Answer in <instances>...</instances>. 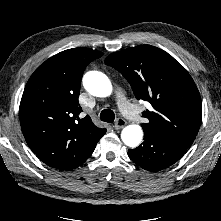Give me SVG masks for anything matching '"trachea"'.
<instances>
[{"instance_id":"trachea-1","label":"trachea","mask_w":221,"mask_h":221,"mask_svg":"<svg viewBox=\"0 0 221 221\" xmlns=\"http://www.w3.org/2000/svg\"><path fill=\"white\" fill-rule=\"evenodd\" d=\"M100 119L104 122L112 123L115 119V114L110 109H104L100 113Z\"/></svg>"}]
</instances>
